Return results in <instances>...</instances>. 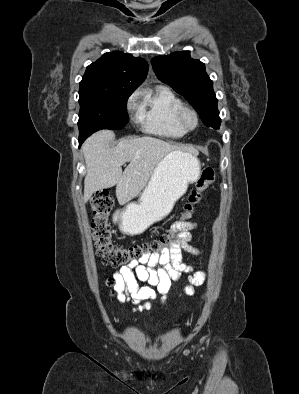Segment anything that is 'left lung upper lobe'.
Returning a JSON list of instances; mask_svg holds the SVG:
<instances>
[{
  "instance_id": "5c2ea615",
  "label": "left lung upper lobe",
  "mask_w": 299,
  "mask_h": 394,
  "mask_svg": "<svg viewBox=\"0 0 299 394\" xmlns=\"http://www.w3.org/2000/svg\"><path fill=\"white\" fill-rule=\"evenodd\" d=\"M151 64L158 79L184 96L207 127L219 129L218 100L202 62L191 59L189 51H182L155 57Z\"/></svg>"
}]
</instances>
